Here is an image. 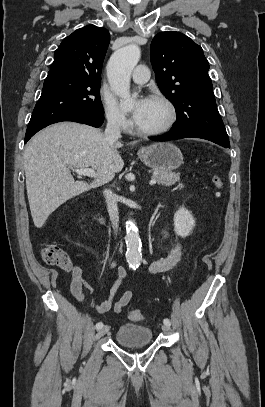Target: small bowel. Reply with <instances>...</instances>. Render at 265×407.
Masks as SVG:
<instances>
[{
  "mask_svg": "<svg viewBox=\"0 0 265 407\" xmlns=\"http://www.w3.org/2000/svg\"><path fill=\"white\" fill-rule=\"evenodd\" d=\"M163 233L166 235V232ZM181 256H182L181 246L177 241H174L173 248L170 254L165 258L152 262V264L150 265V272L153 274H157L172 269L180 261ZM110 266L111 268H114L115 264L111 263ZM71 274H72L70 284L71 293L77 300L82 301L84 299L82 268L79 265H75L71 269ZM126 275L127 271L125 269H121L118 271L116 279L110 289L108 298L93 305V309L96 313L104 314L110 310H113L115 313L119 314L129 304L133 296V292L130 290L124 292L118 300L114 301V297L119 287V284Z\"/></svg>",
  "mask_w": 265,
  "mask_h": 407,
  "instance_id": "1",
  "label": "small bowel"
}]
</instances>
